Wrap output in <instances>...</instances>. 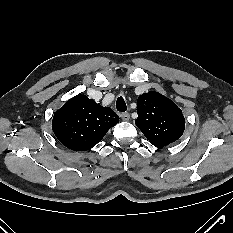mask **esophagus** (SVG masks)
Returning <instances> with one entry per match:
<instances>
[{"mask_svg": "<svg viewBox=\"0 0 233 233\" xmlns=\"http://www.w3.org/2000/svg\"><path fill=\"white\" fill-rule=\"evenodd\" d=\"M120 117H121L122 120H124V121H128V120L130 119V115H129V113H127V112L120 114Z\"/></svg>", "mask_w": 233, "mask_h": 233, "instance_id": "esophagus-1", "label": "esophagus"}]
</instances>
